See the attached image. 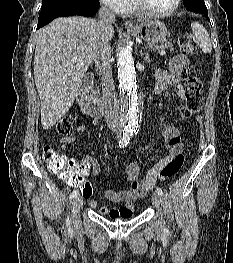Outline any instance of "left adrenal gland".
Instances as JSON below:
<instances>
[{
  "instance_id": "obj_1",
  "label": "left adrenal gland",
  "mask_w": 233,
  "mask_h": 263,
  "mask_svg": "<svg viewBox=\"0 0 233 263\" xmlns=\"http://www.w3.org/2000/svg\"><path fill=\"white\" fill-rule=\"evenodd\" d=\"M141 56L144 57L145 61H147L148 63H150V57L149 54H145L142 50H141Z\"/></svg>"
}]
</instances>
